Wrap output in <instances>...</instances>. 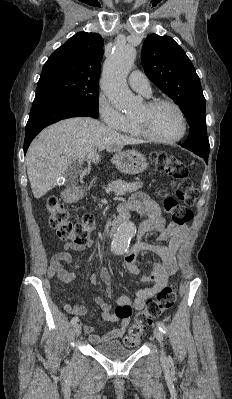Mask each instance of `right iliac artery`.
<instances>
[{
    "label": "right iliac artery",
    "instance_id": "1",
    "mask_svg": "<svg viewBox=\"0 0 232 399\" xmlns=\"http://www.w3.org/2000/svg\"><path fill=\"white\" fill-rule=\"evenodd\" d=\"M78 321H79V318L77 316L73 317L71 320V325L75 326L78 323Z\"/></svg>",
    "mask_w": 232,
    "mask_h": 399
}]
</instances>
